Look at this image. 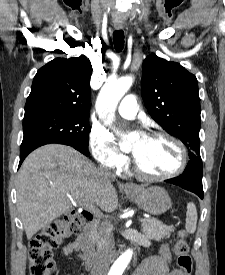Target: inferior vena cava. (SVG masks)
<instances>
[{
    "mask_svg": "<svg viewBox=\"0 0 225 275\" xmlns=\"http://www.w3.org/2000/svg\"><path fill=\"white\" fill-rule=\"evenodd\" d=\"M103 172L109 179L114 178L112 173ZM113 253L114 242L111 239V231L102 227L97 238V256L91 275H107Z\"/></svg>",
    "mask_w": 225,
    "mask_h": 275,
    "instance_id": "1",
    "label": "inferior vena cava"
}]
</instances>
